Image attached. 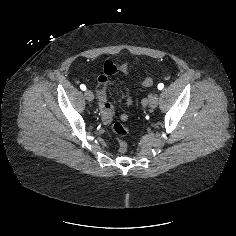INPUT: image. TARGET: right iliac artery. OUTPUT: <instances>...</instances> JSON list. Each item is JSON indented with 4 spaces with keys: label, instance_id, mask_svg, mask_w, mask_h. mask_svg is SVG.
Listing matches in <instances>:
<instances>
[{
    "label": "right iliac artery",
    "instance_id": "1",
    "mask_svg": "<svg viewBox=\"0 0 236 236\" xmlns=\"http://www.w3.org/2000/svg\"><path fill=\"white\" fill-rule=\"evenodd\" d=\"M80 89L83 90V91H85V90H86V86H85L84 84H81V85H80Z\"/></svg>",
    "mask_w": 236,
    "mask_h": 236
}]
</instances>
